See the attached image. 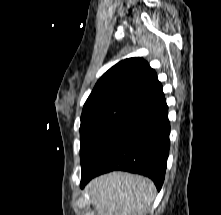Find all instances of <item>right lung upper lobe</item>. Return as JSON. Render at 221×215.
<instances>
[{"label":"right lung upper lobe","instance_id":"cb5924a9","mask_svg":"<svg viewBox=\"0 0 221 215\" xmlns=\"http://www.w3.org/2000/svg\"><path fill=\"white\" fill-rule=\"evenodd\" d=\"M162 94V85L149 64L142 58H128L98 80L85 104L116 102L138 108Z\"/></svg>","mask_w":221,"mask_h":215}]
</instances>
